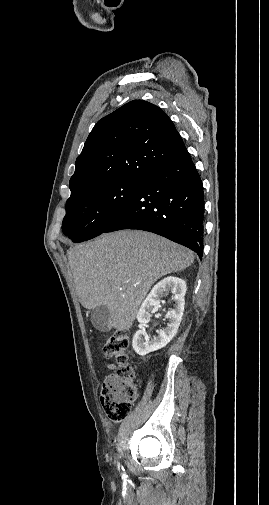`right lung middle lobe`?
<instances>
[{
    "label": "right lung middle lobe",
    "mask_w": 269,
    "mask_h": 505,
    "mask_svg": "<svg viewBox=\"0 0 269 505\" xmlns=\"http://www.w3.org/2000/svg\"><path fill=\"white\" fill-rule=\"evenodd\" d=\"M140 181H114L90 187L67 200L62 230L73 242L102 234L138 190Z\"/></svg>",
    "instance_id": "1"
}]
</instances>
